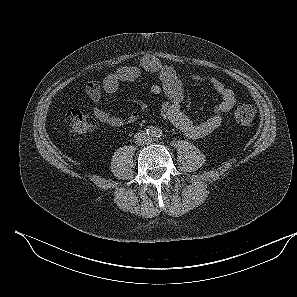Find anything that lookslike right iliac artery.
Returning <instances> with one entry per match:
<instances>
[{"instance_id":"right-iliac-artery-1","label":"right iliac artery","mask_w":297,"mask_h":297,"mask_svg":"<svg viewBox=\"0 0 297 297\" xmlns=\"http://www.w3.org/2000/svg\"><path fill=\"white\" fill-rule=\"evenodd\" d=\"M147 133H148V134H152V133H154V128H153V127H149V128L147 129Z\"/></svg>"}]
</instances>
